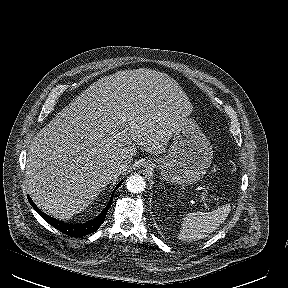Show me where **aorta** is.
I'll use <instances>...</instances> for the list:
<instances>
[{"label": "aorta", "instance_id": "1", "mask_svg": "<svg viewBox=\"0 0 288 288\" xmlns=\"http://www.w3.org/2000/svg\"><path fill=\"white\" fill-rule=\"evenodd\" d=\"M126 187L131 193H141L146 188V182L140 175H132L127 178Z\"/></svg>", "mask_w": 288, "mask_h": 288}]
</instances>
